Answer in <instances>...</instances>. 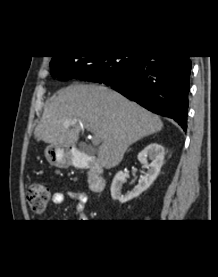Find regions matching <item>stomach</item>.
<instances>
[{
  "instance_id": "obj_1",
  "label": "stomach",
  "mask_w": 218,
  "mask_h": 277,
  "mask_svg": "<svg viewBox=\"0 0 218 277\" xmlns=\"http://www.w3.org/2000/svg\"><path fill=\"white\" fill-rule=\"evenodd\" d=\"M47 161L56 167L66 168L71 164L70 154L67 148L60 146H48L45 149Z\"/></svg>"
}]
</instances>
